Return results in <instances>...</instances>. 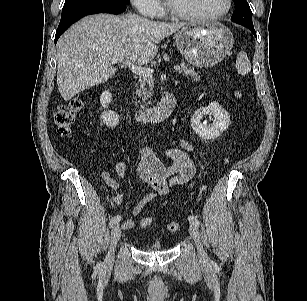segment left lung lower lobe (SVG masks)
Listing matches in <instances>:
<instances>
[{"label":"left lung lower lobe","instance_id":"1","mask_svg":"<svg viewBox=\"0 0 307 301\" xmlns=\"http://www.w3.org/2000/svg\"><path fill=\"white\" fill-rule=\"evenodd\" d=\"M244 26L247 27L248 29H250L251 32L256 36V32H255V29H254L253 25H244Z\"/></svg>","mask_w":307,"mask_h":301}]
</instances>
